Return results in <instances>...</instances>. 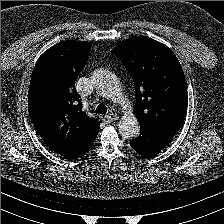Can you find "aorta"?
<instances>
[{
  "label": "aorta",
  "instance_id": "aorta-1",
  "mask_svg": "<svg viewBox=\"0 0 224 224\" xmlns=\"http://www.w3.org/2000/svg\"><path fill=\"white\" fill-rule=\"evenodd\" d=\"M96 85L102 94L112 101L123 105L124 96L121 92L119 81L110 72H102L96 77ZM119 133L124 138H134L139 135L140 127L137 117L131 110L126 112L119 123Z\"/></svg>",
  "mask_w": 224,
  "mask_h": 224
}]
</instances>
